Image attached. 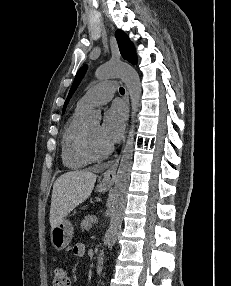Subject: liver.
Instances as JSON below:
<instances>
[{
  "label": "liver",
  "instance_id": "obj_1",
  "mask_svg": "<svg viewBox=\"0 0 231 286\" xmlns=\"http://www.w3.org/2000/svg\"><path fill=\"white\" fill-rule=\"evenodd\" d=\"M97 176L86 170L70 171L62 174L54 183L50 225H58L71 211L83 203L92 193Z\"/></svg>",
  "mask_w": 231,
  "mask_h": 286
}]
</instances>
